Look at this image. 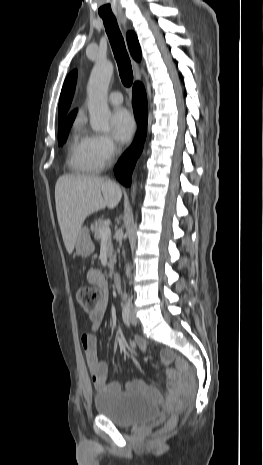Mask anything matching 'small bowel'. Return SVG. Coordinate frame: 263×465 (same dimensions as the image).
Returning a JSON list of instances; mask_svg holds the SVG:
<instances>
[{
  "mask_svg": "<svg viewBox=\"0 0 263 465\" xmlns=\"http://www.w3.org/2000/svg\"><path fill=\"white\" fill-rule=\"evenodd\" d=\"M87 280L89 283L96 285L102 292V298L98 305L88 312L90 330L81 336V344L85 353V359L91 375V380L97 390H105L107 388L120 390L121 386L119 383L109 382L107 364L100 361L97 356V338L95 331L102 325L107 309V281L103 273L97 268H90L88 270ZM136 344L141 350H145L146 343L143 339L136 338ZM161 361L164 364H171L175 362V358L170 352L165 351L161 354ZM167 376L169 384L165 400L166 402L176 404L180 401L181 394L187 385L184 378L183 366L176 362V368L168 369ZM128 386L130 388L144 389L156 400H162L160 392L155 387L147 386L140 380L131 381Z\"/></svg>",
  "mask_w": 263,
  "mask_h": 465,
  "instance_id": "1",
  "label": "small bowel"
}]
</instances>
